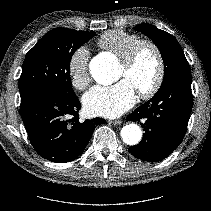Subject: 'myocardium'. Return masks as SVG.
<instances>
[{
  "label": "myocardium",
  "instance_id": "1",
  "mask_svg": "<svg viewBox=\"0 0 211 211\" xmlns=\"http://www.w3.org/2000/svg\"><path fill=\"white\" fill-rule=\"evenodd\" d=\"M144 47H149L154 52L157 61V73L153 83L147 89L138 91V94L139 97L142 99H150L159 91L165 77V61L162 50L159 45L151 39H140L129 49L125 56L120 60L121 65L125 69L131 68L141 49Z\"/></svg>",
  "mask_w": 211,
  "mask_h": 211
}]
</instances>
